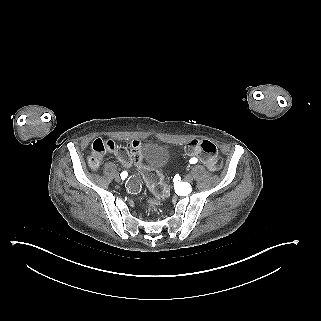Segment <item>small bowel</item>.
Returning <instances> with one entry per match:
<instances>
[{
  "instance_id": "c3829d8e",
  "label": "small bowel",
  "mask_w": 321,
  "mask_h": 321,
  "mask_svg": "<svg viewBox=\"0 0 321 321\" xmlns=\"http://www.w3.org/2000/svg\"><path fill=\"white\" fill-rule=\"evenodd\" d=\"M165 148H169V146L166 145Z\"/></svg>"
}]
</instances>
